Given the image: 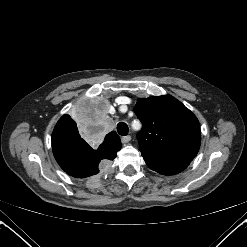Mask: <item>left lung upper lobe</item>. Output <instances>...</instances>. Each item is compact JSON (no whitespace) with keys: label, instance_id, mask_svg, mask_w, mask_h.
I'll return each instance as SVG.
<instances>
[{"label":"left lung upper lobe","instance_id":"left-lung-upper-lobe-1","mask_svg":"<svg viewBox=\"0 0 247 247\" xmlns=\"http://www.w3.org/2000/svg\"><path fill=\"white\" fill-rule=\"evenodd\" d=\"M142 129L137 134L144 158L192 161L201 141L196 116L171 95L139 99L134 107Z\"/></svg>","mask_w":247,"mask_h":247}]
</instances>
